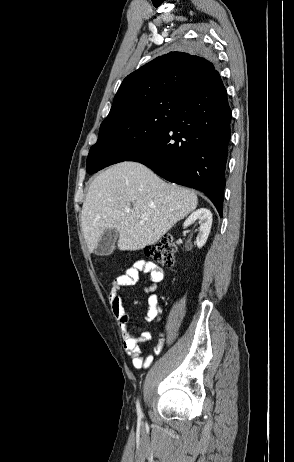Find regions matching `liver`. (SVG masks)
Listing matches in <instances>:
<instances>
[{"label": "liver", "instance_id": "6515ba94", "mask_svg": "<svg viewBox=\"0 0 294 462\" xmlns=\"http://www.w3.org/2000/svg\"><path fill=\"white\" fill-rule=\"evenodd\" d=\"M197 204L194 191L166 183L140 163L125 161L92 181L82 206V232L91 253L106 229L119 232V250H140L157 242ZM126 207L132 211L125 212Z\"/></svg>", "mask_w": 294, "mask_h": 462}]
</instances>
